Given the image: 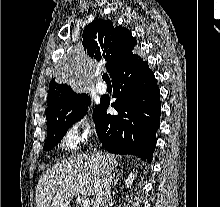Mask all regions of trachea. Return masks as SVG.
<instances>
[{"label":"trachea","mask_w":220,"mask_h":207,"mask_svg":"<svg viewBox=\"0 0 220 207\" xmlns=\"http://www.w3.org/2000/svg\"><path fill=\"white\" fill-rule=\"evenodd\" d=\"M102 78H103V80H104L106 83H109V82H110V78H109V76H108L107 73L103 74Z\"/></svg>","instance_id":"trachea-1"}]
</instances>
